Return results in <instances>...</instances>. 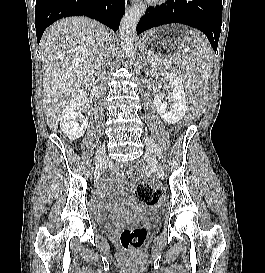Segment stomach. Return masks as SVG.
Masks as SVG:
<instances>
[{
	"mask_svg": "<svg viewBox=\"0 0 265 273\" xmlns=\"http://www.w3.org/2000/svg\"><path fill=\"white\" fill-rule=\"evenodd\" d=\"M188 25H157V30H148L139 40V49H148L145 56H152V60H165V56H179V43L182 35H186Z\"/></svg>",
	"mask_w": 265,
	"mask_h": 273,
	"instance_id": "0dacf381",
	"label": "stomach"
}]
</instances>
